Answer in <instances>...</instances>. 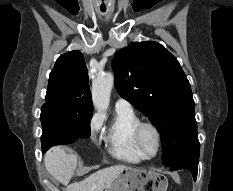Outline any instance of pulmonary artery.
<instances>
[{"instance_id": "obj_1", "label": "pulmonary artery", "mask_w": 233, "mask_h": 191, "mask_svg": "<svg viewBox=\"0 0 233 191\" xmlns=\"http://www.w3.org/2000/svg\"><path fill=\"white\" fill-rule=\"evenodd\" d=\"M115 108L119 111H132L131 104L124 98H118L115 102Z\"/></svg>"}]
</instances>
